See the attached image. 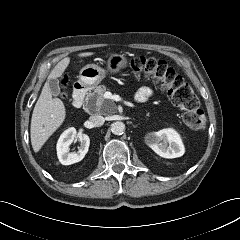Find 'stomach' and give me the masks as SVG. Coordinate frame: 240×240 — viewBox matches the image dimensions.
Returning a JSON list of instances; mask_svg holds the SVG:
<instances>
[{"instance_id":"0dacf381","label":"stomach","mask_w":240,"mask_h":240,"mask_svg":"<svg viewBox=\"0 0 240 240\" xmlns=\"http://www.w3.org/2000/svg\"><path fill=\"white\" fill-rule=\"evenodd\" d=\"M127 63L124 55L113 53L108 57V71L119 72ZM107 71L96 64H88L84 66L79 73V84L83 87L93 89L106 76Z\"/></svg>"}]
</instances>
